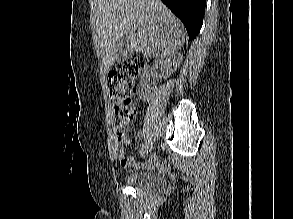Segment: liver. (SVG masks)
I'll use <instances>...</instances> for the list:
<instances>
[{
	"instance_id": "obj_1",
	"label": "liver",
	"mask_w": 293,
	"mask_h": 219,
	"mask_svg": "<svg viewBox=\"0 0 293 219\" xmlns=\"http://www.w3.org/2000/svg\"><path fill=\"white\" fill-rule=\"evenodd\" d=\"M94 16L93 43L105 71L124 35L134 51L150 58L171 55L185 41L183 25L160 0H95Z\"/></svg>"
}]
</instances>
